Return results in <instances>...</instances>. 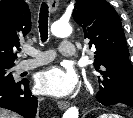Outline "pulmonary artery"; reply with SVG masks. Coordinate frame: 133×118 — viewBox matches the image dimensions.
Returning a JSON list of instances; mask_svg holds the SVG:
<instances>
[{
  "label": "pulmonary artery",
  "instance_id": "e3ab8cb5",
  "mask_svg": "<svg viewBox=\"0 0 133 118\" xmlns=\"http://www.w3.org/2000/svg\"><path fill=\"white\" fill-rule=\"evenodd\" d=\"M59 50L62 56L72 57L75 54V46L71 41L63 40L60 43ZM24 51L27 54L33 55L32 59L21 60L17 66V72H24L40 65L46 64L53 60L54 54L52 50L40 51L37 49L25 48Z\"/></svg>",
  "mask_w": 133,
  "mask_h": 118
}]
</instances>
